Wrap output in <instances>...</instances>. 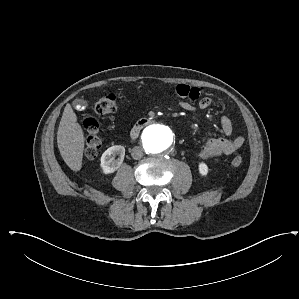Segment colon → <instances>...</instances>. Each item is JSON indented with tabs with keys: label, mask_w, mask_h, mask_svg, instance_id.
Here are the masks:
<instances>
[{
	"label": "colon",
	"mask_w": 299,
	"mask_h": 299,
	"mask_svg": "<svg viewBox=\"0 0 299 299\" xmlns=\"http://www.w3.org/2000/svg\"><path fill=\"white\" fill-rule=\"evenodd\" d=\"M117 110V100L113 94H109L99 98L94 106V112L97 115H106ZM83 127L86 132V141L84 147V154L88 159L97 157L101 148V139L99 136V125L96 119L92 116H86L83 120ZM243 159L236 156L232 160L234 167H240Z\"/></svg>",
	"instance_id": "obj_1"
}]
</instances>
